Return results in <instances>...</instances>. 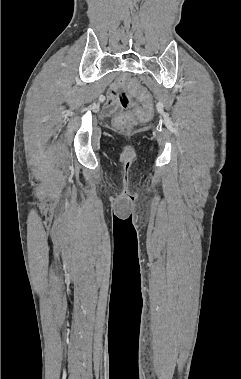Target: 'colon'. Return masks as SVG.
<instances>
[{
    "mask_svg": "<svg viewBox=\"0 0 241 379\" xmlns=\"http://www.w3.org/2000/svg\"><path fill=\"white\" fill-rule=\"evenodd\" d=\"M142 96L143 97L140 98V103L144 105L135 106L133 112H125L124 114L116 118L115 124L117 126L122 128H128L134 125L138 119L149 116L151 110H155V103H149V98L147 94L143 92ZM117 100L119 101V104L123 109H129L132 106H134L130 98L123 93L117 94Z\"/></svg>",
    "mask_w": 241,
    "mask_h": 379,
    "instance_id": "colon-1",
    "label": "colon"
}]
</instances>
